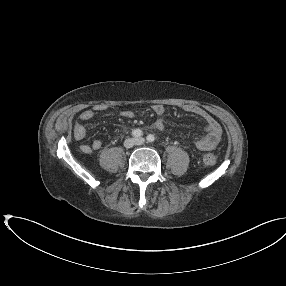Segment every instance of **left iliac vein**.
I'll list each match as a JSON object with an SVG mask.
<instances>
[{
	"instance_id": "1",
	"label": "left iliac vein",
	"mask_w": 286,
	"mask_h": 286,
	"mask_svg": "<svg viewBox=\"0 0 286 286\" xmlns=\"http://www.w3.org/2000/svg\"><path fill=\"white\" fill-rule=\"evenodd\" d=\"M144 143H145V139H144V138L140 137V138H137V139H136V144H137V145H142V144H144Z\"/></svg>"
}]
</instances>
